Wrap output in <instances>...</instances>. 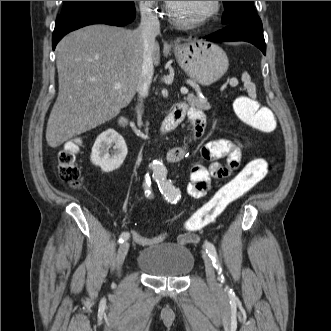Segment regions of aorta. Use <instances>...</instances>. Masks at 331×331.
<instances>
[{"instance_id":"762f6f07","label":"aorta","mask_w":331,"mask_h":331,"mask_svg":"<svg viewBox=\"0 0 331 331\" xmlns=\"http://www.w3.org/2000/svg\"><path fill=\"white\" fill-rule=\"evenodd\" d=\"M151 167H152L155 178L159 179V178H163L165 176L166 168L162 161H160V160L153 161Z\"/></svg>"}]
</instances>
